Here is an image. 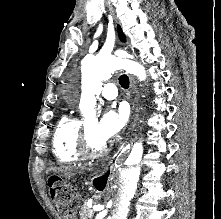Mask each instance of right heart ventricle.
<instances>
[{"label": "right heart ventricle", "mask_w": 221, "mask_h": 219, "mask_svg": "<svg viewBox=\"0 0 221 219\" xmlns=\"http://www.w3.org/2000/svg\"><path fill=\"white\" fill-rule=\"evenodd\" d=\"M83 123L72 115H64L56 125L52 138V150L61 164H73L82 158L78 153L79 137Z\"/></svg>", "instance_id": "obj_1"}]
</instances>
